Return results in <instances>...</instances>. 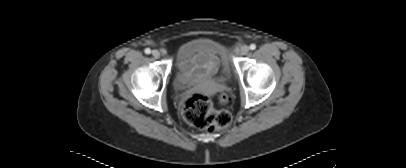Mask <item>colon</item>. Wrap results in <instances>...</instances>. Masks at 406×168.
<instances>
[{
  "label": "colon",
  "instance_id": "5ec220e1",
  "mask_svg": "<svg viewBox=\"0 0 406 168\" xmlns=\"http://www.w3.org/2000/svg\"><path fill=\"white\" fill-rule=\"evenodd\" d=\"M220 100L226 102L227 95L222 93ZM181 113L188 124L209 131L228 127L232 122V116L228 111L214 110L211 98L200 92L193 93L184 100Z\"/></svg>",
  "mask_w": 406,
  "mask_h": 168
}]
</instances>
